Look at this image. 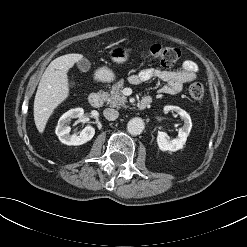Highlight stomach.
Returning <instances> with one entry per match:
<instances>
[{"label":"stomach","mask_w":247,"mask_h":247,"mask_svg":"<svg viewBox=\"0 0 247 247\" xmlns=\"http://www.w3.org/2000/svg\"><path fill=\"white\" fill-rule=\"evenodd\" d=\"M129 49L123 47L122 45H116L112 47L109 51L110 58L117 63L125 62L129 57ZM97 78L104 82H110L114 79L113 72L107 67H102L97 71Z\"/></svg>","instance_id":"0dacf381"}]
</instances>
